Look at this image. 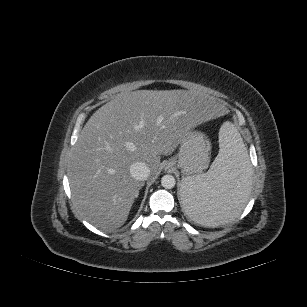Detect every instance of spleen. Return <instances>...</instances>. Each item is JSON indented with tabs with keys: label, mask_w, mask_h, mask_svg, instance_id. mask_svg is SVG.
I'll list each match as a JSON object with an SVG mask.
<instances>
[{
	"label": "spleen",
	"mask_w": 307,
	"mask_h": 307,
	"mask_svg": "<svg viewBox=\"0 0 307 307\" xmlns=\"http://www.w3.org/2000/svg\"><path fill=\"white\" fill-rule=\"evenodd\" d=\"M219 153L204 174L182 179L180 196L196 223L217 227L238 217L250 194L251 165L236 127L225 122L219 131Z\"/></svg>",
	"instance_id": "obj_1"
}]
</instances>
